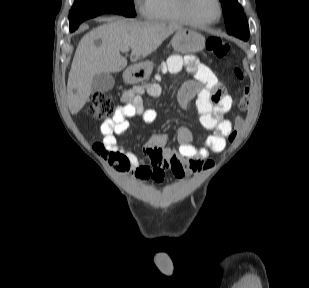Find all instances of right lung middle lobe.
Wrapping results in <instances>:
<instances>
[{"mask_svg": "<svg viewBox=\"0 0 309 288\" xmlns=\"http://www.w3.org/2000/svg\"><path fill=\"white\" fill-rule=\"evenodd\" d=\"M104 13L136 16L133 0H75L69 15L70 31H75L86 19Z\"/></svg>", "mask_w": 309, "mask_h": 288, "instance_id": "1", "label": "right lung middle lobe"}]
</instances>
